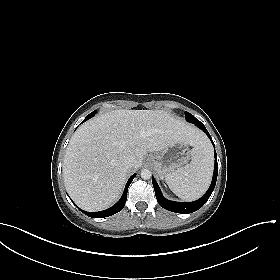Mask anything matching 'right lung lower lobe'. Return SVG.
<instances>
[{
	"instance_id": "98d812e1",
	"label": "right lung lower lobe",
	"mask_w": 280,
	"mask_h": 280,
	"mask_svg": "<svg viewBox=\"0 0 280 280\" xmlns=\"http://www.w3.org/2000/svg\"><path fill=\"white\" fill-rule=\"evenodd\" d=\"M93 117V116H92ZM91 118V116L90 115H88L84 120H83V122H85L86 120H88V119H90ZM82 122V123H83ZM136 176V174H133L130 178H129V180H128V182H127V184H126V186H125V190H124V192H123V195H122V197L120 198V200L113 206V207H111V208H109V209H106V210H104V211H100V212H86V211H83V210H81V209H79L81 212H83L85 215H87V216H89V217H92V218H104V217H108V216H111V215H114V214H116L117 212H119V211H121L122 209H123V207H124V205H125V202H126V200H127V191H128V187H129V185L131 184V182H132V180H133V178Z\"/></svg>"
}]
</instances>
